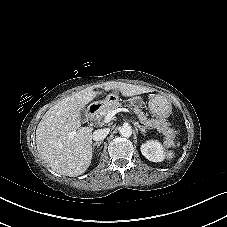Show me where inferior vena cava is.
Instances as JSON below:
<instances>
[{
    "instance_id": "602c4592",
    "label": "inferior vena cava",
    "mask_w": 227,
    "mask_h": 227,
    "mask_svg": "<svg viewBox=\"0 0 227 227\" xmlns=\"http://www.w3.org/2000/svg\"><path fill=\"white\" fill-rule=\"evenodd\" d=\"M109 132H110L109 128L95 130L93 132L92 138L94 141H103L109 134Z\"/></svg>"
}]
</instances>
